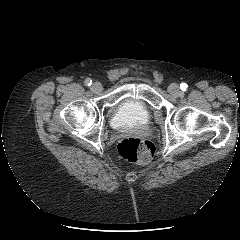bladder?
<instances>
[{
	"instance_id": "obj_1",
	"label": "bladder",
	"mask_w": 240,
	"mask_h": 240,
	"mask_svg": "<svg viewBox=\"0 0 240 240\" xmlns=\"http://www.w3.org/2000/svg\"><path fill=\"white\" fill-rule=\"evenodd\" d=\"M151 119V111L143 102L127 99L119 104L111 117V124L117 128L144 127Z\"/></svg>"
}]
</instances>
